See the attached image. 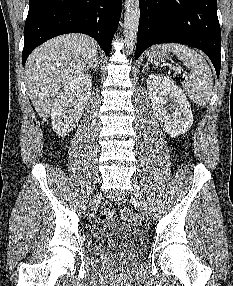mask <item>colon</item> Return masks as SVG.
I'll list each match as a JSON object with an SVG mask.
<instances>
[{
    "label": "colon",
    "instance_id": "5ec220e1",
    "mask_svg": "<svg viewBox=\"0 0 233 286\" xmlns=\"http://www.w3.org/2000/svg\"><path fill=\"white\" fill-rule=\"evenodd\" d=\"M115 216H116L115 209L110 204H105L100 209V212H99L100 219H110V218H114ZM121 218L133 224H136L139 221L138 216L132 213L130 210H123L121 212Z\"/></svg>",
    "mask_w": 233,
    "mask_h": 286
}]
</instances>
